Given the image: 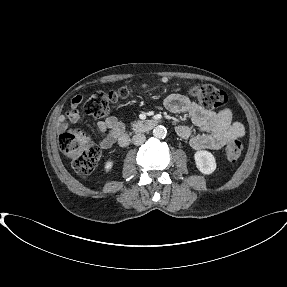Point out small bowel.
I'll list each match as a JSON object with an SVG mask.
<instances>
[{"label": "small bowel", "instance_id": "small-bowel-1", "mask_svg": "<svg viewBox=\"0 0 287 287\" xmlns=\"http://www.w3.org/2000/svg\"><path fill=\"white\" fill-rule=\"evenodd\" d=\"M81 100L79 96L72 99L70 109L58 119L59 130H71L69 123H76L80 120L78 106ZM164 104L172 113H188L192 122L203 132L192 135V129L188 125H179L176 128L178 136L182 139H189L190 145L196 150L220 149L229 141L244 134L242 124L233 121L232 111L229 108H223L217 112L210 111L180 94L167 96ZM124 128L123 120L115 116L99 121L97 130L101 136L100 146L110 148L124 132Z\"/></svg>", "mask_w": 287, "mask_h": 287}]
</instances>
